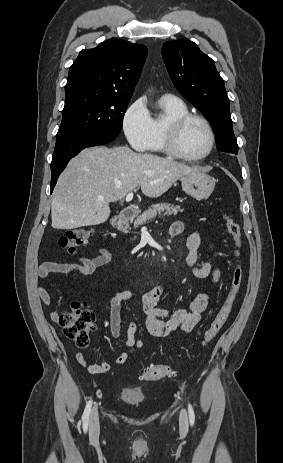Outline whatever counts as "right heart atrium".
Instances as JSON below:
<instances>
[{"instance_id": "1", "label": "right heart atrium", "mask_w": 283, "mask_h": 463, "mask_svg": "<svg viewBox=\"0 0 283 463\" xmlns=\"http://www.w3.org/2000/svg\"><path fill=\"white\" fill-rule=\"evenodd\" d=\"M122 129L130 146L137 151L148 148L152 137L151 116L142 99L132 102L122 119Z\"/></svg>"}]
</instances>
